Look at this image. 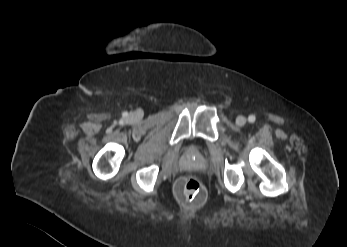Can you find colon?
Instances as JSON below:
<instances>
[{
    "instance_id": "5ec220e1",
    "label": "colon",
    "mask_w": 347,
    "mask_h": 247,
    "mask_svg": "<svg viewBox=\"0 0 347 247\" xmlns=\"http://www.w3.org/2000/svg\"><path fill=\"white\" fill-rule=\"evenodd\" d=\"M179 200L187 205L199 206L205 202L206 189L199 179L193 176L181 177L176 184Z\"/></svg>"
}]
</instances>
